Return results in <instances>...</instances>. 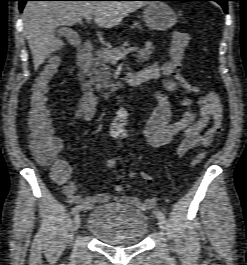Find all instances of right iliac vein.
Returning a JSON list of instances; mask_svg holds the SVG:
<instances>
[{
	"mask_svg": "<svg viewBox=\"0 0 247 265\" xmlns=\"http://www.w3.org/2000/svg\"><path fill=\"white\" fill-rule=\"evenodd\" d=\"M80 224H81L80 215L76 214L73 219V229L77 230L80 227Z\"/></svg>",
	"mask_w": 247,
	"mask_h": 265,
	"instance_id": "right-iliac-vein-1",
	"label": "right iliac vein"
}]
</instances>
